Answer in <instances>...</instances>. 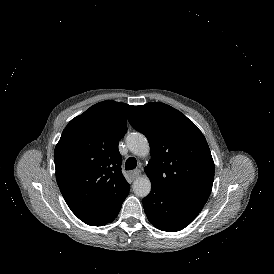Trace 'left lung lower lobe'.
Returning a JSON list of instances; mask_svg holds the SVG:
<instances>
[{
  "label": "left lung lower lobe",
  "mask_w": 274,
  "mask_h": 274,
  "mask_svg": "<svg viewBox=\"0 0 274 274\" xmlns=\"http://www.w3.org/2000/svg\"><path fill=\"white\" fill-rule=\"evenodd\" d=\"M144 211L149 221L163 231H179L200 213L202 204L190 202L164 192L154 186L143 198Z\"/></svg>",
  "instance_id": "1"
}]
</instances>
